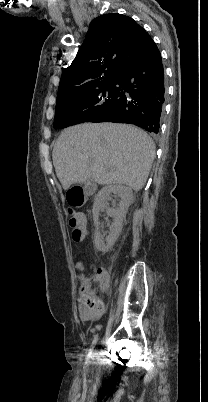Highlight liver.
<instances>
[{
	"instance_id": "1",
	"label": "liver",
	"mask_w": 208,
	"mask_h": 402,
	"mask_svg": "<svg viewBox=\"0 0 208 402\" xmlns=\"http://www.w3.org/2000/svg\"><path fill=\"white\" fill-rule=\"evenodd\" d=\"M153 140L131 124H79L62 132L53 148V166L64 190L89 180L108 186L143 188L153 164Z\"/></svg>"
}]
</instances>
